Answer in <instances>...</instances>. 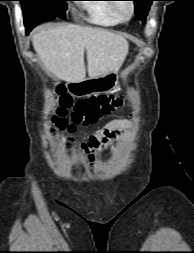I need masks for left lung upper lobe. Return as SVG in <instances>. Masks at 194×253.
Returning a JSON list of instances; mask_svg holds the SVG:
<instances>
[{
    "instance_id": "5c2ea615",
    "label": "left lung upper lobe",
    "mask_w": 194,
    "mask_h": 253,
    "mask_svg": "<svg viewBox=\"0 0 194 253\" xmlns=\"http://www.w3.org/2000/svg\"><path fill=\"white\" fill-rule=\"evenodd\" d=\"M134 1L135 8H136V17L145 23L146 16L150 9V6L153 1L155 0H132Z\"/></svg>"
}]
</instances>
